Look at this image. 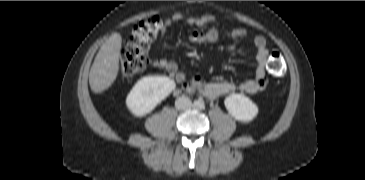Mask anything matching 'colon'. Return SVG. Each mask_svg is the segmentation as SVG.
Returning <instances> with one entry per match:
<instances>
[{
	"mask_svg": "<svg viewBox=\"0 0 365 180\" xmlns=\"http://www.w3.org/2000/svg\"><path fill=\"white\" fill-rule=\"evenodd\" d=\"M162 29V21L152 17L139 23L127 37L121 49L119 68L123 75L131 76L140 73L148 62L149 42L156 38ZM267 68L274 76L285 72L282 54L273 51L268 59Z\"/></svg>",
	"mask_w": 365,
	"mask_h": 180,
	"instance_id": "colon-1",
	"label": "colon"
}]
</instances>
